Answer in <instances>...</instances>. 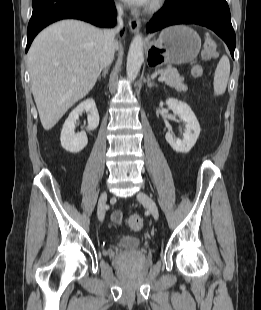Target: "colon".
Instances as JSON below:
<instances>
[{
	"instance_id": "obj_1",
	"label": "colon",
	"mask_w": 261,
	"mask_h": 310,
	"mask_svg": "<svg viewBox=\"0 0 261 310\" xmlns=\"http://www.w3.org/2000/svg\"><path fill=\"white\" fill-rule=\"evenodd\" d=\"M217 46L211 39H207L204 43L202 56L204 59L209 60L213 59L217 56ZM203 67L201 65H195L192 68V74L194 77H200L203 75ZM121 210L119 208H115L111 213V219L113 221H121L123 216L120 214ZM128 226L133 230H140L143 226V219L138 214L131 215L127 220ZM118 224L117 222L115 223Z\"/></svg>"
}]
</instances>
